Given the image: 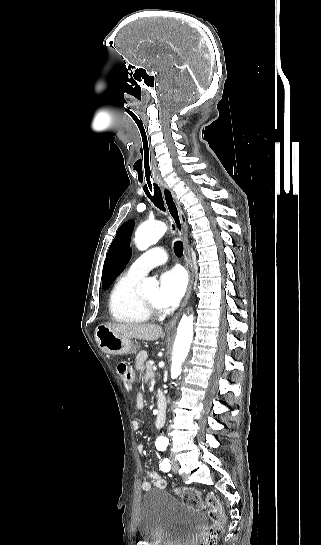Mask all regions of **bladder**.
Listing matches in <instances>:
<instances>
[{"instance_id": "31cf9c89", "label": "bladder", "mask_w": 321, "mask_h": 545, "mask_svg": "<svg viewBox=\"0 0 321 545\" xmlns=\"http://www.w3.org/2000/svg\"><path fill=\"white\" fill-rule=\"evenodd\" d=\"M204 525L203 514L164 489L152 488L142 498L138 531L149 545H191Z\"/></svg>"}]
</instances>
